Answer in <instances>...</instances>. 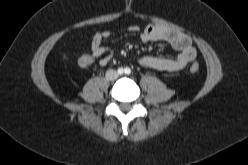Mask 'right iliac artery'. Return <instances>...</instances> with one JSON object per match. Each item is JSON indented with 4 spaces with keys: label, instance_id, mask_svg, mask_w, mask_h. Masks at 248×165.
I'll return each mask as SVG.
<instances>
[{
    "label": "right iliac artery",
    "instance_id": "1",
    "mask_svg": "<svg viewBox=\"0 0 248 165\" xmlns=\"http://www.w3.org/2000/svg\"><path fill=\"white\" fill-rule=\"evenodd\" d=\"M118 73H119V74H122V73H123V69H122V68H119V69H118Z\"/></svg>",
    "mask_w": 248,
    "mask_h": 165
}]
</instances>
